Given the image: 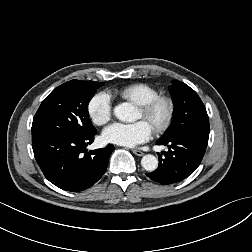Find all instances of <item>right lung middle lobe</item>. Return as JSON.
I'll return each mask as SVG.
<instances>
[{"label": "right lung middle lobe", "instance_id": "dd1d6c3e", "mask_svg": "<svg viewBox=\"0 0 252 252\" xmlns=\"http://www.w3.org/2000/svg\"><path fill=\"white\" fill-rule=\"evenodd\" d=\"M104 82L71 80L55 88L41 103L32 123V137H82L96 132L88 104Z\"/></svg>", "mask_w": 252, "mask_h": 252}]
</instances>
